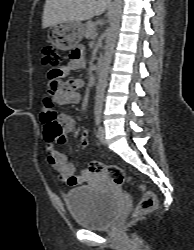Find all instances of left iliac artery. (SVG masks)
<instances>
[{"label":"left iliac artery","instance_id":"1","mask_svg":"<svg viewBox=\"0 0 194 250\" xmlns=\"http://www.w3.org/2000/svg\"><path fill=\"white\" fill-rule=\"evenodd\" d=\"M100 122H101V113H100V112H97V113L95 114V124H96V125H99Z\"/></svg>","mask_w":194,"mask_h":250}]
</instances>
